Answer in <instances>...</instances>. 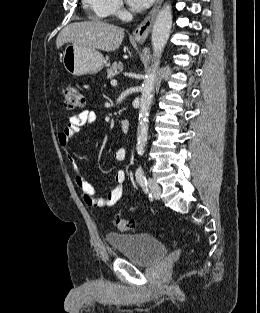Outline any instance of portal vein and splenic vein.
I'll use <instances>...</instances> for the list:
<instances>
[{
	"label": "portal vein and splenic vein",
	"instance_id": "portal-vein-and-splenic-vein-1",
	"mask_svg": "<svg viewBox=\"0 0 260 313\" xmlns=\"http://www.w3.org/2000/svg\"><path fill=\"white\" fill-rule=\"evenodd\" d=\"M111 85H114V86L117 85V81L116 80H112L111 81Z\"/></svg>",
	"mask_w": 260,
	"mask_h": 313
}]
</instances>
